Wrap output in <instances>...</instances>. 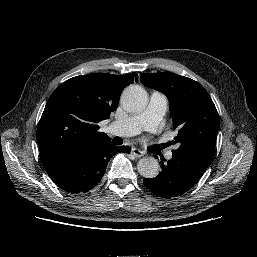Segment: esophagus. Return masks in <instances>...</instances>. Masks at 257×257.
Wrapping results in <instances>:
<instances>
[{
    "label": "esophagus",
    "instance_id": "1",
    "mask_svg": "<svg viewBox=\"0 0 257 257\" xmlns=\"http://www.w3.org/2000/svg\"><path fill=\"white\" fill-rule=\"evenodd\" d=\"M131 154H133L136 157H141V156L144 155V152L139 150V149H137V148H132L131 149Z\"/></svg>",
    "mask_w": 257,
    "mask_h": 257
}]
</instances>
